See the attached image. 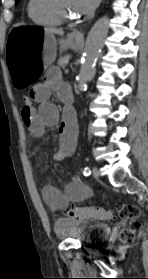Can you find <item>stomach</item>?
<instances>
[{
    "mask_svg": "<svg viewBox=\"0 0 148 279\" xmlns=\"http://www.w3.org/2000/svg\"><path fill=\"white\" fill-rule=\"evenodd\" d=\"M7 49L6 69L14 86V91H31L35 82H41L45 69H50V63L56 57L57 40L53 34L45 31V25H15L5 35ZM61 51L71 48L77 50L79 41L75 34H70L59 42ZM40 49V50H38Z\"/></svg>",
    "mask_w": 148,
    "mask_h": 279,
    "instance_id": "stomach-1",
    "label": "stomach"
}]
</instances>
